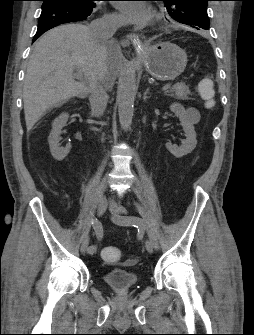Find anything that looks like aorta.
Returning <instances> with one entry per match:
<instances>
[{
  "label": "aorta",
  "mask_w": 254,
  "mask_h": 335,
  "mask_svg": "<svg viewBox=\"0 0 254 335\" xmlns=\"http://www.w3.org/2000/svg\"><path fill=\"white\" fill-rule=\"evenodd\" d=\"M136 95V70L130 66L122 79L117 93L118 114L121 127L128 130L132 124Z\"/></svg>",
  "instance_id": "aorta-1"
}]
</instances>
